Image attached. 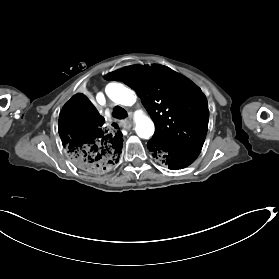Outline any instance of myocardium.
<instances>
[{
  "mask_svg": "<svg viewBox=\"0 0 279 279\" xmlns=\"http://www.w3.org/2000/svg\"><path fill=\"white\" fill-rule=\"evenodd\" d=\"M86 76L88 77L89 74H86ZM136 102H137V97H136V95H133V98L131 99L130 103H136ZM104 132H107V129L101 130V134H103Z\"/></svg>",
  "mask_w": 279,
  "mask_h": 279,
  "instance_id": "f54148a6",
  "label": "myocardium"
}]
</instances>
